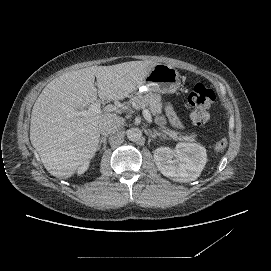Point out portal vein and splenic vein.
I'll return each instance as SVG.
<instances>
[{
    "mask_svg": "<svg viewBox=\"0 0 271 271\" xmlns=\"http://www.w3.org/2000/svg\"><path fill=\"white\" fill-rule=\"evenodd\" d=\"M98 113H101V103H100V101H96L95 103L91 104L89 106L88 110L78 111L77 115L88 116L89 114H98ZM143 116L149 123L152 122V116H151L148 109L143 110Z\"/></svg>",
    "mask_w": 271,
    "mask_h": 271,
    "instance_id": "18ae733b",
    "label": "portal vein and splenic vein"
}]
</instances>
